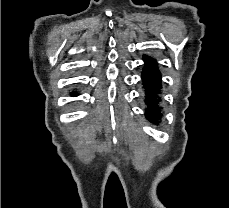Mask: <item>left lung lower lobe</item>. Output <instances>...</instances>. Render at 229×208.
<instances>
[{"label":"left lung lower lobe","instance_id":"0a47b994","mask_svg":"<svg viewBox=\"0 0 229 208\" xmlns=\"http://www.w3.org/2000/svg\"><path fill=\"white\" fill-rule=\"evenodd\" d=\"M146 67L142 72V84L145 90L146 118L151 123L157 124L161 118V75L152 67V64L145 60Z\"/></svg>","mask_w":229,"mask_h":208}]
</instances>
